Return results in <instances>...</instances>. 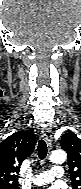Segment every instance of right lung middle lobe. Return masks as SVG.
<instances>
[{
    "label": "right lung middle lobe",
    "instance_id": "1",
    "mask_svg": "<svg viewBox=\"0 0 81 189\" xmlns=\"http://www.w3.org/2000/svg\"><path fill=\"white\" fill-rule=\"evenodd\" d=\"M0 189H19L17 185L2 186Z\"/></svg>",
    "mask_w": 81,
    "mask_h": 189
}]
</instances>
